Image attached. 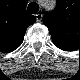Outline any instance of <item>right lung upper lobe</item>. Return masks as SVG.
Wrapping results in <instances>:
<instances>
[{"mask_svg": "<svg viewBox=\"0 0 80 80\" xmlns=\"http://www.w3.org/2000/svg\"><path fill=\"white\" fill-rule=\"evenodd\" d=\"M0 13V45L12 51L23 42L27 27L36 19L26 12L22 0L10 1Z\"/></svg>", "mask_w": 80, "mask_h": 80, "instance_id": "cb5924a9", "label": "right lung upper lobe"}]
</instances>
